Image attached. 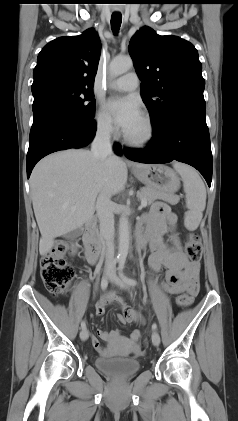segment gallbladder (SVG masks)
<instances>
[{"label": "gallbladder", "instance_id": "gallbladder-1", "mask_svg": "<svg viewBox=\"0 0 238 421\" xmlns=\"http://www.w3.org/2000/svg\"><path fill=\"white\" fill-rule=\"evenodd\" d=\"M79 233H80V231H79V230H77V231H75V232L70 233V234H69V236H74V235H77V234H79Z\"/></svg>", "mask_w": 238, "mask_h": 421}]
</instances>
